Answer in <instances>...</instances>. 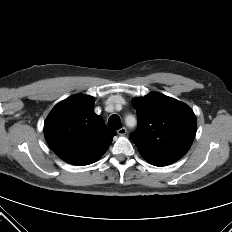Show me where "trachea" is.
Listing matches in <instances>:
<instances>
[{
	"instance_id": "1",
	"label": "trachea",
	"mask_w": 232,
	"mask_h": 232,
	"mask_svg": "<svg viewBox=\"0 0 232 232\" xmlns=\"http://www.w3.org/2000/svg\"><path fill=\"white\" fill-rule=\"evenodd\" d=\"M108 127L112 130H118L121 128V120L118 115L110 116L108 120Z\"/></svg>"
}]
</instances>
